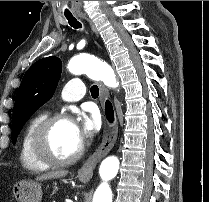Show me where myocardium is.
Listing matches in <instances>:
<instances>
[{
  "label": "myocardium",
  "mask_w": 209,
  "mask_h": 202,
  "mask_svg": "<svg viewBox=\"0 0 209 202\" xmlns=\"http://www.w3.org/2000/svg\"><path fill=\"white\" fill-rule=\"evenodd\" d=\"M64 121H72L67 114H56L46 117L36 128L32 141L31 150L35 158L48 167H65L75 163L84 152V145L81 144L76 153L64 159L52 155L48 149L47 138L55 125Z\"/></svg>",
  "instance_id": "obj_1"
}]
</instances>
